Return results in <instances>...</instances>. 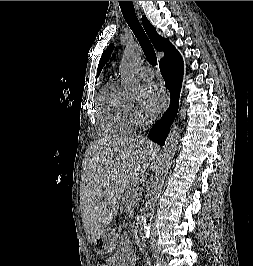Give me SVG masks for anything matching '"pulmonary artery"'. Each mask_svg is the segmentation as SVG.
<instances>
[{
	"label": "pulmonary artery",
	"mask_w": 253,
	"mask_h": 266,
	"mask_svg": "<svg viewBox=\"0 0 253 266\" xmlns=\"http://www.w3.org/2000/svg\"><path fill=\"white\" fill-rule=\"evenodd\" d=\"M138 76L143 80H151L153 78V71L149 67H141L137 71Z\"/></svg>",
	"instance_id": "e3ab8cb5"
}]
</instances>
